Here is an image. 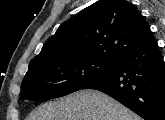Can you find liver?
Here are the masks:
<instances>
[{
	"instance_id": "1",
	"label": "liver",
	"mask_w": 165,
	"mask_h": 120,
	"mask_svg": "<svg viewBox=\"0 0 165 120\" xmlns=\"http://www.w3.org/2000/svg\"><path fill=\"white\" fill-rule=\"evenodd\" d=\"M28 120H140V117L102 92L81 90L40 105Z\"/></svg>"
}]
</instances>
